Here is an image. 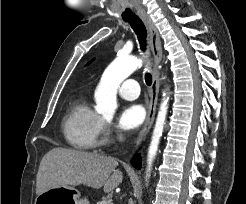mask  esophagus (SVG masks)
Here are the masks:
<instances>
[{
	"label": "esophagus",
	"mask_w": 246,
	"mask_h": 204,
	"mask_svg": "<svg viewBox=\"0 0 246 204\" xmlns=\"http://www.w3.org/2000/svg\"><path fill=\"white\" fill-rule=\"evenodd\" d=\"M141 19L149 31L154 67L152 71V85L147 118L136 140V148L144 141L154 121L159 93V76L157 72V66L162 60L161 41L156 26L148 15H141Z\"/></svg>",
	"instance_id": "obj_1"
}]
</instances>
